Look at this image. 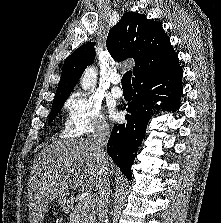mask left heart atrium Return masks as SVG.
Segmentation results:
<instances>
[{"label":"left heart atrium","instance_id":"obj_1","mask_svg":"<svg viewBox=\"0 0 221 223\" xmlns=\"http://www.w3.org/2000/svg\"><path fill=\"white\" fill-rule=\"evenodd\" d=\"M111 117L113 119H115L117 117V114H116V112L114 110H111Z\"/></svg>","mask_w":221,"mask_h":223}]
</instances>
